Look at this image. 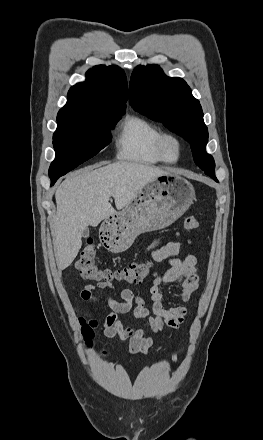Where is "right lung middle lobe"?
Instances as JSON below:
<instances>
[{"mask_svg":"<svg viewBox=\"0 0 263 440\" xmlns=\"http://www.w3.org/2000/svg\"><path fill=\"white\" fill-rule=\"evenodd\" d=\"M123 114H96L78 121H58L53 135L56 152L49 168L51 181L96 155L111 141V129Z\"/></svg>","mask_w":263,"mask_h":440,"instance_id":"obj_1","label":"right lung middle lobe"}]
</instances>
